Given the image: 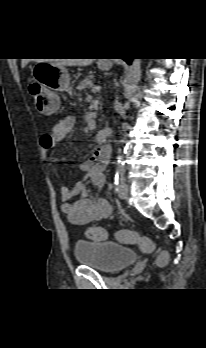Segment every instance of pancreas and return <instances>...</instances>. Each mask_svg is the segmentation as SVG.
Listing matches in <instances>:
<instances>
[{"instance_id": "cf45deb5", "label": "pancreas", "mask_w": 206, "mask_h": 348, "mask_svg": "<svg viewBox=\"0 0 206 348\" xmlns=\"http://www.w3.org/2000/svg\"><path fill=\"white\" fill-rule=\"evenodd\" d=\"M91 87H93V77L88 76L78 84L77 89L81 91Z\"/></svg>"}]
</instances>
